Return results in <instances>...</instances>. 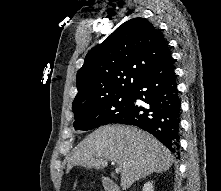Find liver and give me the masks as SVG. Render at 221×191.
<instances>
[{
    "instance_id": "6515ba94",
    "label": "liver",
    "mask_w": 221,
    "mask_h": 191,
    "mask_svg": "<svg viewBox=\"0 0 221 191\" xmlns=\"http://www.w3.org/2000/svg\"><path fill=\"white\" fill-rule=\"evenodd\" d=\"M108 161L121 171V187L153 172L167 171L173 163L171 152L152 135L133 126H103L83 139L74 149L67 170L73 166L101 169Z\"/></svg>"
}]
</instances>
